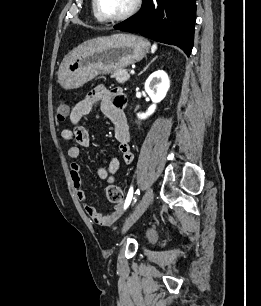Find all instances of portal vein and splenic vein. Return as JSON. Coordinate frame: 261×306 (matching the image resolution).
I'll return each mask as SVG.
<instances>
[{
    "label": "portal vein and splenic vein",
    "mask_w": 261,
    "mask_h": 306,
    "mask_svg": "<svg viewBox=\"0 0 261 306\" xmlns=\"http://www.w3.org/2000/svg\"><path fill=\"white\" fill-rule=\"evenodd\" d=\"M134 73H135V71H134V70H131V71H130V74H132V75H133Z\"/></svg>",
    "instance_id": "portal-vein-and-splenic-vein-1"
}]
</instances>
